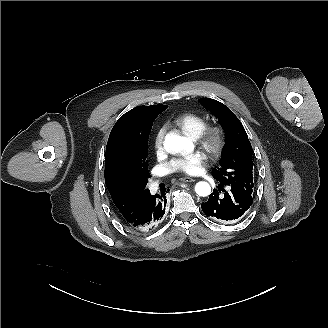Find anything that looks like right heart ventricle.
<instances>
[{
  "label": "right heart ventricle",
  "instance_id": "obj_1",
  "mask_svg": "<svg viewBox=\"0 0 328 328\" xmlns=\"http://www.w3.org/2000/svg\"><path fill=\"white\" fill-rule=\"evenodd\" d=\"M174 123L189 137H197L207 123V119L198 114H185L174 119Z\"/></svg>",
  "mask_w": 328,
  "mask_h": 328
}]
</instances>
